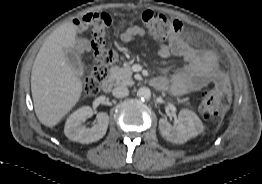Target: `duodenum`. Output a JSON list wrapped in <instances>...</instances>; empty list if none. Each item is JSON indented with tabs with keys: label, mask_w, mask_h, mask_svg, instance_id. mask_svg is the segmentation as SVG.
Wrapping results in <instances>:
<instances>
[{
	"label": "duodenum",
	"mask_w": 262,
	"mask_h": 184,
	"mask_svg": "<svg viewBox=\"0 0 262 184\" xmlns=\"http://www.w3.org/2000/svg\"><path fill=\"white\" fill-rule=\"evenodd\" d=\"M153 85L157 88L158 87V81L156 80H153ZM102 90L106 93H109L111 90H112V87H113V80L111 78H107L105 79L103 82H102Z\"/></svg>",
	"instance_id": "1"
}]
</instances>
